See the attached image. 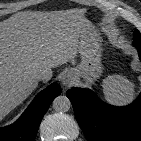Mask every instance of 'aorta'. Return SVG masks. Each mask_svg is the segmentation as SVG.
Segmentation results:
<instances>
[{
	"mask_svg": "<svg viewBox=\"0 0 141 141\" xmlns=\"http://www.w3.org/2000/svg\"><path fill=\"white\" fill-rule=\"evenodd\" d=\"M71 107V102L66 96H58L53 101V108L56 112H67Z\"/></svg>",
	"mask_w": 141,
	"mask_h": 141,
	"instance_id": "762f6f07",
	"label": "aorta"
}]
</instances>
